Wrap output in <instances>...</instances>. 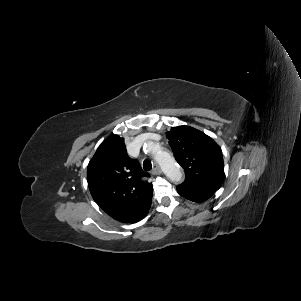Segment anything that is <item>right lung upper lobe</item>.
Wrapping results in <instances>:
<instances>
[{
	"label": "right lung upper lobe",
	"mask_w": 301,
	"mask_h": 301,
	"mask_svg": "<svg viewBox=\"0 0 301 301\" xmlns=\"http://www.w3.org/2000/svg\"><path fill=\"white\" fill-rule=\"evenodd\" d=\"M136 160L127 155L124 138L113 135L99 146L87 168L94 201L112 218L134 223L150 207L153 186Z\"/></svg>",
	"instance_id": "cb5924a9"
}]
</instances>
